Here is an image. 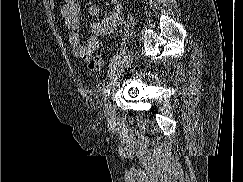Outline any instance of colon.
<instances>
[{
	"label": "colon",
	"mask_w": 243,
	"mask_h": 182,
	"mask_svg": "<svg viewBox=\"0 0 243 182\" xmlns=\"http://www.w3.org/2000/svg\"><path fill=\"white\" fill-rule=\"evenodd\" d=\"M88 67L90 70L100 72L103 68V59L100 55L91 57L88 61Z\"/></svg>",
	"instance_id": "5ec220e1"
}]
</instances>
